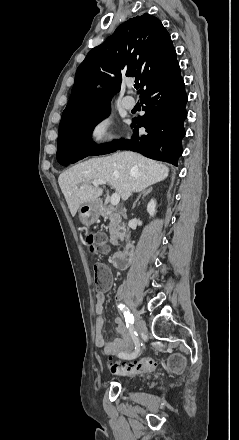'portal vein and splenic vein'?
Segmentation results:
<instances>
[{"label": "portal vein and splenic vein", "instance_id": "obj_1", "mask_svg": "<svg viewBox=\"0 0 239 440\" xmlns=\"http://www.w3.org/2000/svg\"><path fill=\"white\" fill-rule=\"evenodd\" d=\"M91 184H93V186H95V188H98V186H103V184H106V182H104V180H93V182H91ZM119 202H120L119 194H113V196H111L112 206H117V204H119Z\"/></svg>", "mask_w": 239, "mask_h": 440}]
</instances>
